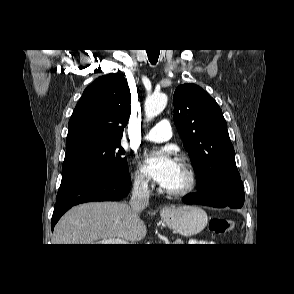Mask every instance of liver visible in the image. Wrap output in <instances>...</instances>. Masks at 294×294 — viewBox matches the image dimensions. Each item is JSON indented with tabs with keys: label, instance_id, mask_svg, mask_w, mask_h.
Instances as JSON below:
<instances>
[{
	"label": "liver",
	"instance_id": "1",
	"mask_svg": "<svg viewBox=\"0 0 294 294\" xmlns=\"http://www.w3.org/2000/svg\"><path fill=\"white\" fill-rule=\"evenodd\" d=\"M145 223L119 202H90L73 207L56 224L53 244H96L107 238L136 242L146 236Z\"/></svg>",
	"mask_w": 294,
	"mask_h": 294
}]
</instances>
